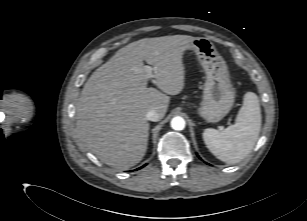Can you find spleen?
Wrapping results in <instances>:
<instances>
[{
  "mask_svg": "<svg viewBox=\"0 0 307 221\" xmlns=\"http://www.w3.org/2000/svg\"><path fill=\"white\" fill-rule=\"evenodd\" d=\"M261 129V109L258 96L247 92L236 122L223 131L207 128L203 140L219 160L235 164L244 159L255 146Z\"/></svg>",
  "mask_w": 307,
  "mask_h": 221,
  "instance_id": "obj_1",
  "label": "spleen"
}]
</instances>
